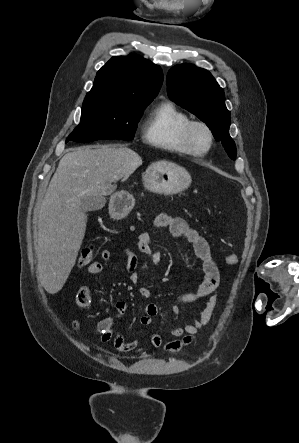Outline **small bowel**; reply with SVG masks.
<instances>
[{
	"label": "small bowel",
	"mask_w": 299,
	"mask_h": 443,
	"mask_svg": "<svg viewBox=\"0 0 299 443\" xmlns=\"http://www.w3.org/2000/svg\"><path fill=\"white\" fill-rule=\"evenodd\" d=\"M153 225L156 229L168 227L174 237H183L191 243L196 256L202 262L204 270V278L198 289L195 292L180 294L177 297V303L172 307L173 313L178 314L180 306L192 304L201 298L207 297L208 300L199 321L183 326H174L166 332V335L171 338H178L186 333V335L180 339L164 342L162 336L157 333H151L149 335L151 348H164L167 351L176 352L190 344L194 335L210 321L217 305L220 272L207 240L189 226L184 219L167 214H160L154 219ZM136 245L138 250L147 256V260L139 266L137 255L130 249L124 251V269L131 273L129 280L132 284L139 282L141 276L140 270H145L152 265H157L162 260L161 253L152 249L151 236L148 232H142L138 235ZM110 258V252L103 250L101 252L102 262L96 261L90 263L87 268L88 274H100L104 266L109 265ZM138 292L147 301L145 314L140 318V323L144 326H149L158 313V306L149 301L151 299V291L148 288L143 286L139 287ZM91 299V289L89 286L84 285L78 291L76 305L79 309H87ZM115 308L118 316H123L127 312V305L123 301L117 302ZM72 327L77 332L80 327L79 322L77 320L73 321ZM97 328L101 341L104 343L112 342L116 350L123 353L138 352L141 350L140 340L138 338L127 341L121 333L115 331V319L113 317H105L100 320Z\"/></svg>",
	"instance_id": "c3829d8e"
}]
</instances>
